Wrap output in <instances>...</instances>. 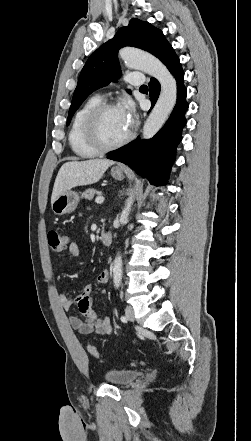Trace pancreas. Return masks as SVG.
Here are the masks:
<instances>
[{
	"mask_svg": "<svg viewBox=\"0 0 251 441\" xmlns=\"http://www.w3.org/2000/svg\"><path fill=\"white\" fill-rule=\"evenodd\" d=\"M98 193H99V191H97L96 189L89 188L82 193L81 197L84 199L92 200L94 195L98 194Z\"/></svg>",
	"mask_w": 251,
	"mask_h": 441,
	"instance_id": "cf45deb5",
	"label": "pancreas"
}]
</instances>
